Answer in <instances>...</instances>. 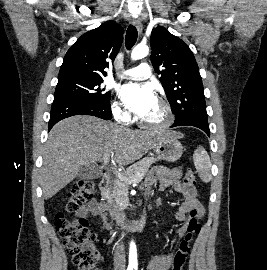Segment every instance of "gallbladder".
Returning <instances> with one entry per match:
<instances>
[{
	"label": "gallbladder",
	"instance_id": "bac80fb5",
	"mask_svg": "<svg viewBox=\"0 0 267 270\" xmlns=\"http://www.w3.org/2000/svg\"><path fill=\"white\" fill-rule=\"evenodd\" d=\"M102 176V171L94 165L82 166L79 168L77 177L82 180L98 179Z\"/></svg>",
	"mask_w": 267,
	"mask_h": 270
}]
</instances>
